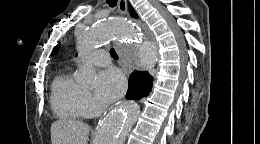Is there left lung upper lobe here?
Listing matches in <instances>:
<instances>
[{"label":"left lung upper lobe","instance_id":"5c2ea615","mask_svg":"<svg viewBox=\"0 0 260 144\" xmlns=\"http://www.w3.org/2000/svg\"><path fill=\"white\" fill-rule=\"evenodd\" d=\"M59 45H60V43H58V45L54 48L53 54L57 52V50H58V48H59Z\"/></svg>","mask_w":260,"mask_h":144}]
</instances>
